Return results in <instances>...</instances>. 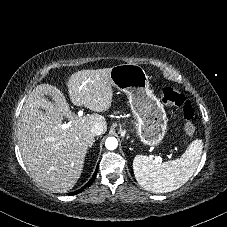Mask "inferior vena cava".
<instances>
[{
    "label": "inferior vena cava",
    "instance_id": "602c4592",
    "mask_svg": "<svg viewBox=\"0 0 227 227\" xmlns=\"http://www.w3.org/2000/svg\"><path fill=\"white\" fill-rule=\"evenodd\" d=\"M106 131V127L103 126L100 123H96L95 125H93V127L91 128V133L94 136H99L101 134H103Z\"/></svg>",
    "mask_w": 227,
    "mask_h": 227
}]
</instances>
